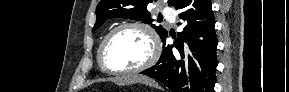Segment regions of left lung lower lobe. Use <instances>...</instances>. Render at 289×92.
I'll return each instance as SVG.
<instances>
[{
	"mask_svg": "<svg viewBox=\"0 0 289 92\" xmlns=\"http://www.w3.org/2000/svg\"><path fill=\"white\" fill-rule=\"evenodd\" d=\"M174 8L180 10L184 21L176 44L163 51L159 61L141 74L154 78L173 92H213L218 65L215 20L210 0H177ZM180 25V24H178Z\"/></svg>",
	"mask_w": 289,
	"mask_h": 92,
	"instance_id": "obj_1",
	"label": "left lung lower lobe"
}]
</instances>
